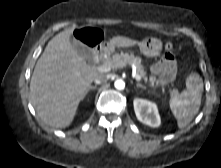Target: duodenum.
I'll use <instances>...</instances> for the list:
<instances>
[{
  "label": "duodenum",
  "instance_id": "1",
  "mask_svg": "<svg viewBox=\"0 0 221 168\" xmlns=\"http://www.w3.org/2000/svg\"><path fill=\"white\" fill-rule=\"evenodd\" d=\"M105 52H106V49L102 44L97 45L94 48L93 53H92L93 61L96 63L101 61L105 55Z\"/></svg>",
  "mask_w": 221,
  "mask_h": 168
}]
</instances>
